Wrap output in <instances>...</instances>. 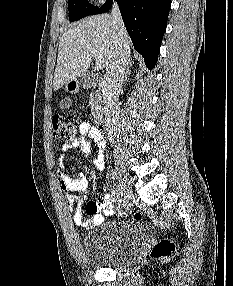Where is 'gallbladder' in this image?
Returning a JSON list of instances; mask_svg holds the SVG:
<instances>
[{
    "label": "gallbladder",
    "mask_w": 233,
    "mask_h": 286,
    "mask_svg": "<svg viewBox=\"0 0 233 286\" xmlns=\"http://www.w3.org/2000/svg\"><path fill=\"white\" fill-rule=\"evenodd\" d=\"M95 77L93 74L88 73L87 75L83 76L80 80V84L83 86V88L90 87L94 81ZM72 102L69 97H65L63 100L60 101V107L61 108H69L71 106Z\"/></svg>",
    "instance_id": "1"
}]
</instances>
